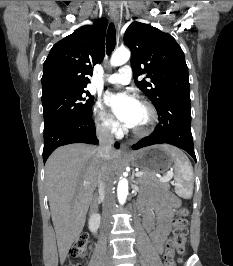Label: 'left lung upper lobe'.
Here are the masks:
<instances>
[{
    "mask_svg": "<svg viewBox=\"0 0 233 266\" xmlns=\"http://www.w3.org/2000/svg\"><path fill=\"white\" fill-rule=\"evenodd\" d=\"M124 43L132 53L135 83L156 108L170 98L190 94L184 53L171 35L135 21L127 28ZM144 73L150 82L137 81Z\"/></svg>",
    "mask_w": 233,
    "mask_h": 266,
    "instance_id": "left-lung-upper-lobe-1",
    "label": "left lung upper lobe"
}]
</instances>
